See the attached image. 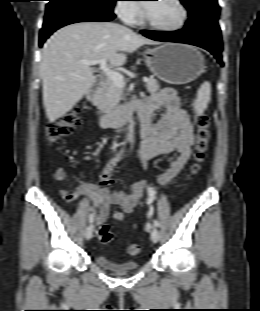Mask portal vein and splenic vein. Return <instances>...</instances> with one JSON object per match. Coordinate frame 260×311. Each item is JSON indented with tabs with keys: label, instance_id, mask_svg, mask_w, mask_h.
I'll use <instances>...</instances> for the list:
<instances>
[{
	"label": "portal vein and splenic vein",
	"instance_id": "1",
	"mask_svg": "<svg viewBox=\"0 0 260 311\" xmlns=\"http://www.w3.org/2000/svg\"><path fill=\"white\" fill-rule=\"evenodd\" d=\"M79 62L82 63V64H85V65H89V66L99 64L100 65V69L102 70V72L109 79H111L118 87L123 88L125 86V81H124L123 75H121L120 73H118L116 71L111 70L105 59H100V60H80ZM143 81L144 82H148L149 79L147 77H144Z\"/></svg>",
	"mask_w": 260,
	"mask_h": 311
}]
</instances>
